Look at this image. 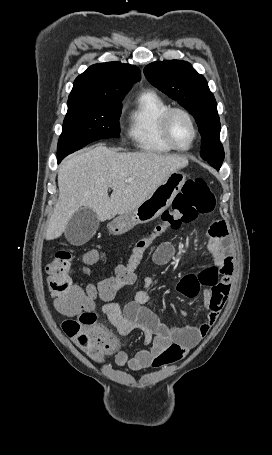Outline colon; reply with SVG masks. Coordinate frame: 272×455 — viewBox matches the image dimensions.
I'll use <instances>...</instances> for the list:
<instances>
[{"label": "colon", "mask_w": 272, "mask_h": 455, "mask_svg": "<svg viewBox=\"0 0 272 455\" xmlns=\"http://www.w3.org/2000/svg\"><path fill=\"white\" fill-rule=\"evenodd\" d=\"M215 198L207 182L200 177L191 178L184 184L182 192L175 198L172 208L166 210L152 232L139 239L129 259L116 266L114 274L97 286L82 288L73 282L71 250L64 248L56 252L46 267L48 289L54 298L56 309L69 316L62 323L65 334L94 361L101 362L105 355L115 349V337L96 324L93 312L95 299L112 300L123 287L137 281V270L145 251L168 230H176L198 215L213 211ZM99 259L97 252L85 255L87 263Z\"/></svg>", "instance_id": "1"}]
</instances>
